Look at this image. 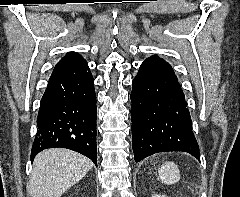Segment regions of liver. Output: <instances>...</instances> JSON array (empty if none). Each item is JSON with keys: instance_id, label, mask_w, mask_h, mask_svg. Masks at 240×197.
Returning a JSON list of instances; mask_svg holds the SVG:
<instances>
[{"instance_id": "1", "label": "liver", "mask_w": 240, "mask_h": 197, "mask_svg": "<svg viewBox=\"0 0 240 197\" xmlns=\"http://www.w3.org/2000/svg\"><path fill=\"white\" fill-rule=\"evenodd\" d=\"M93 167L87 157L63 148L41 151L33 162L29 192L31 197H60Z\"/></svg>"}]
</instances>
